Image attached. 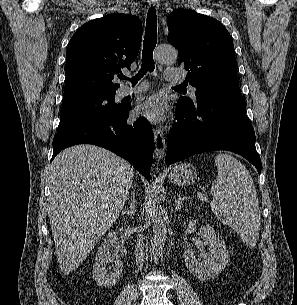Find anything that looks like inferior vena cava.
Returning <instances> with one entry per match:
<instances>
[{"label":"inferior vena cava","instance_id":"obj_1","mask_svg":"<svg viewBox=\"0 0 297 305\" xmlns=\"http://www.w3.org/2000/svg\"><path fill=\"white\" fill-rule=\"evenodd\" d=\"M144 255H145L144 242L141 236L139 235L135 248L136 264L139 268H142V265L144 263Z\"/></svg>","mask_w":297,"mask_h":305}]
</instances>
